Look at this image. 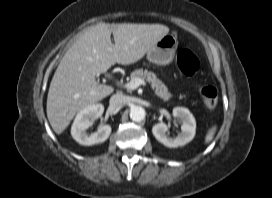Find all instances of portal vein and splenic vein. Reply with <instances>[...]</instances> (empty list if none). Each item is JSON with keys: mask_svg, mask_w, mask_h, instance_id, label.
<instances>
[{"mask_svg": "<svg viewBox=\"0 0 272 198\" xmlns=\"http://www.w3.org/2000/svg\"><path fill=\"white\" fill-rule=\"evenodd\" d=\"M116 83H117V85H119L127 90H134V89H137L140 85H143V86L146 85L145 81L140 78L132 79L130 82H127V83H123V82H119V81Z\"/></svg>", "mask_w": 272, "mask_h": 198, "instance_id": "18ae733b", "label": "portal vein and splenic vein"}]
</instances>
